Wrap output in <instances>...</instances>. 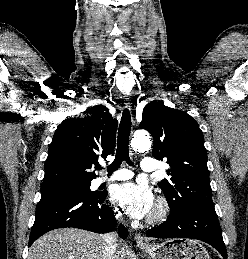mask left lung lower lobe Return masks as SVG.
Segmentation results:
<instances>
[{
  "instance_id": "obj_1",
  "label": "left lung lower lobe",
  "mask_w": 248,
  "mask_h": 259,
  "mask_svg": "<svg viewBox=\"0 0 248 259\" xmlns=\"http://www.w3.org/2000/svg\"><path fill=\"white\" fill-rule=\"evenodd\" d=\"M147 236L198 239L213 246L224 259H227L226 247L214 207L171 211L167 221L148 230Z\"/></svg>"
}]
</instances>
